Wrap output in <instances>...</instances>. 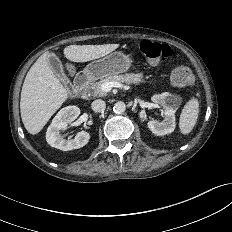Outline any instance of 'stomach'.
<instances>
[{
    "instance_id": "stomach-1",
    "label": "stomach",
    "mask_w": 232,
    "mask_h": 232,
    "mask_svg": "<svg viewBox=\"0 0 232 232\" xmlns=\"http://www.w3.org/2000/svg\"><path fill=\"white\" fill-rule=\"evenodd\" d=\"M131 63L132 59L129 55H125L121 51H115L89 63L85 67L84 73L91 80L100 79L126 72Z\"/></svg>"
}]
</instances>
